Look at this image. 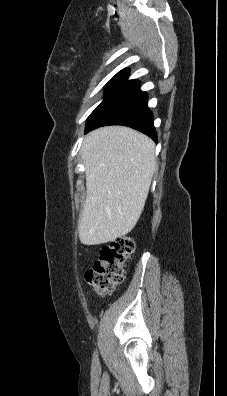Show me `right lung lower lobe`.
I'll list each match as a JSON object with an SVG mask.
<instances>
[{
  "label": "right lung lower lobe",
  "instance_id": "1",
  "mask_svg": "<svg viewBox=\"0 0 227 396\" xmlns=\"http://www.w3.org/2000/svg\"><path fill=\"white\" fill-rule=\"evenodd\" d=\"M147 100V93L140 90L139 81H126L92 112L85 133L101 126L124 125L157 142L153 114L148 108Z\"/></svg>",
  "mask_w": 227,
  "mask_h": 396
}]
</instances>
